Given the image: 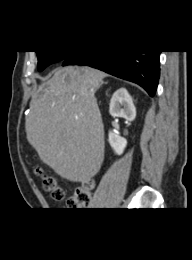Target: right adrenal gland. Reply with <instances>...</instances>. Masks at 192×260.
I'll list each match as a JSON object with an SVG mask.
<instances>
[{"label": "right adrenal gland", "instance_id": "2a0ac1e0", "mask_svg": "<svg viewBox=\"0 0 192 260\" xmlns=\"http://www.w3.org/2000/svg\"><path fill=\"white\" fill-rule=\"evenodd\" d=\"M102 84H103V82H101V84H100V85H102ZM100 85L98 86V88L100 87ZM98 88H97V89H98Z\"/></svg>", "mask_w": 192, "mask_h": 260}]
</instances>
